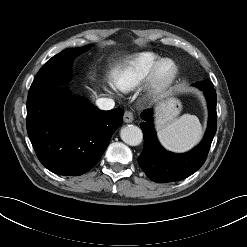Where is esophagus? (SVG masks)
I'll list each match as a JSON object with an SVG mask.
<instances>
[{"label": "esophagus", "mask_w": 247, "mask_h": 247, "mask_svg": "<svg viewBox=\"0 0 247 247\" xmlns=\"http://www.w3.org/2000/svg\"><path fill=\"white\" fill-rule=\"evenodd\" d=\"M123 120H124L125 123H131L134 120L133 113L130 112V111H126L124 113Z\"/></svg>", "instance_id": "1"}]
</instances>
